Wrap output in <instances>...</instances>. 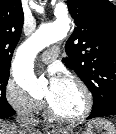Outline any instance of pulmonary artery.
Here are the masks:
<instances>
[{
  "mask_svg": "<svg viewBox=\"0 0 116 134\" xmlns=\"http://www.w3.org/2000/svg\"><path fill=\"white\" fill-rule=\"evenodd\" d=\"M59 48L57 46L51 47L44 51L41 55V59L45 63H50L58 56Z\"/></svg>",
  "mask_w": 116,
  "mask_h": 134,
  "instance_id": "e3ab8cb5",
  "label": "pulmonary artery"
}]
</instances>
